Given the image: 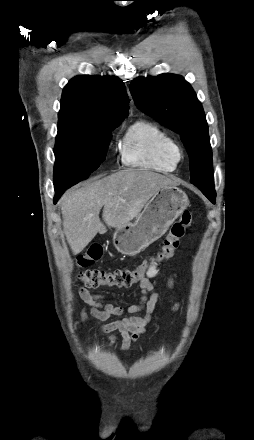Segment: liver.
Returning a JSON list of instances; mask_svg holds the SVG:
<instances>
[{"label":"liver","instance_id":"obj_1","mask_svg":"<svg viewBox=\"0 0 254 440\" xmlns=\"http://www.w3.org/2000/svg\"><path fill=\"white\" fill-rule=\"evenodd\" d=\"M176 185L170 177L144 169H125L86 184L61 198L63 228L73 254H78L97 233L119 228L138 218L151 197L162 187Z\"/></svg>","mask_w":254,"mask_h":440}]
</instances>
